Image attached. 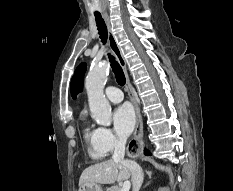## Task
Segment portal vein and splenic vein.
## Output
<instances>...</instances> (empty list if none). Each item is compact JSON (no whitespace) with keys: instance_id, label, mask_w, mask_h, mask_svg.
<instances>
[{"instance_id":"1","label":"portal vein and splenic vein","mask_w":233,"mask_h":191,"mask_svg":"<svg viewBox=\"0 0 233 191\" xmlns=\"http://www.w3.org/2000/svg\"><path fill=\"white\" fill-rule=\"evenodd\" d=\"M130 186H131L130 181H128V180L124 181L123 186L121 188V191H129Z\"/></svg>"}]
</instances>
